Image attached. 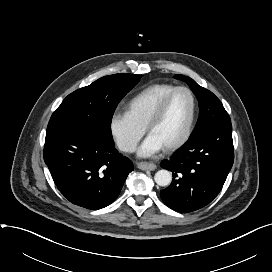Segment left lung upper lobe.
I'll list each match as a JSON object with an SVG mask.
<instances>
[{
	"mask_svg": "<svg viewBox=\"0 0 272 272\" xmlns=\"http://www.w3.org/2000/svg\"><path fill=\"white\" fill-rule=\"evenodd\" d=\"M175 78L185 81L199 102L200 116L191 135L216 125L231 123L221 101L211 91L199 86L187 76L177 74Z\"/></svg>",
	"mask_w": 272,
	"mask_h": 272,
	"instance_id": "5c2ea615",
	"label": "left lung upper lobe"
}]
</instances>
